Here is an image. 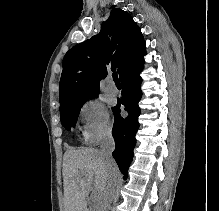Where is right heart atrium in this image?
<instances>
[{"label":"right heart atrium","mask_w":219,"mask_h":211,"mask_svg":"<svg viewBox=\"0 0 219 211\" xmlns=\"http://www.w3.org/2000/svg\"><path fill=\"white\" fill-rule=\"evenodd\" d=\"M80 116L84 121L83 135L86 143L94 145L110 135V115L100 101L91 99L84 103L80 108Z\"/></svg>","instance_id":"obj_1"}]
</instances>
